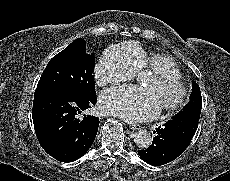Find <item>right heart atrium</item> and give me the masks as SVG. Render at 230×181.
<instances>
[{"label": "right heart atrium", "mask_w": 230, "mask_h": 181, "mask_svg": "<svg viewBox=\"0 0 230 181\" xmlns=\"http://www.w3.org/2000/svg\"><path fill=\"white\" fill-rule=\"evenodd\" d=\"M127 76V70L109 54L95 67V80L100 86L119 85Z\"/></svg>", "instance_id": "right-heart-atrium-1"}]
</instances>
